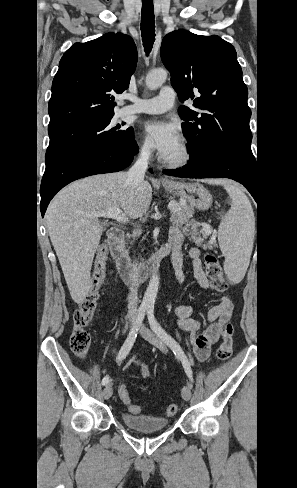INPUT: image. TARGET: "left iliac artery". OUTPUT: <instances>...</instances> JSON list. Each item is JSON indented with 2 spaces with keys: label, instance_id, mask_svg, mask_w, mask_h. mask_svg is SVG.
I'll use <instances>...</instances> for the list:
<instances>
[{
  "label": "left iliac artery",
  "instance_id": "44dca946",
  "mask_svg": "<svg viewBox=\"0 0 297 488\" xmlns=\"http://www.w3.org/2000/svg\"><path fill=\"white\" fill-rule=\"evenodd\" d=\"M147 316H148V321H149L151 329L155 332V334L160 339H162L171 348V350L173 351L175 356L181 360L185 372L187 373L190 380L193 381L192 370H191L187 356L185 355L181 346L157 322V320L154 316V308L153 307H149L147 309Z\"/></svg>",
  "mask_w": 297,
  "mask_h": 488
}]
</instances>
